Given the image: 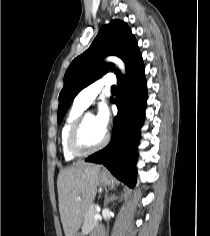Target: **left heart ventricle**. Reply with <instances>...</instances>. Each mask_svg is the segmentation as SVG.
<instances>
[{"label": "left heart ventricle", "mask_w": 210, "mask_h": 236, "mask_svg": "<svg viewBox=\"0 0 210 236\" xmlns=\"http://www.w3.org/2000/svg\"><path fill=\"white\" fill-rule=\"evenodd\" d=\"M105 132L101 130L94 121L92 114L88 115L82 130V140L87 146H95L100 143Z\"/></svg>", "instance_id": "obj_1"}]
</instances>
